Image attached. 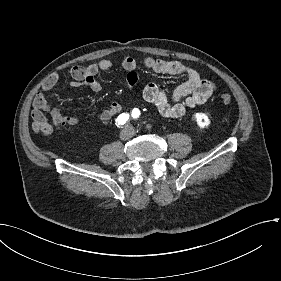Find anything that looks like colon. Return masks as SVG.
<instances>
[{
  "mask_svg": "<svg viewBox=\"0 0 281 281\" xmlns=\"http://www.w3.org/2000/svg\"><path fill=\"white\" fill-rule=\"evenodd\" d=\"M219 100L223 105H229L232 102V97L228 94H223L219 97Z\"/></svg>",
  "mask_w": 281,
  "mask_h": 281,
  "instance_id": "obj_1",
  "label": "colon"
}]
</instances>
